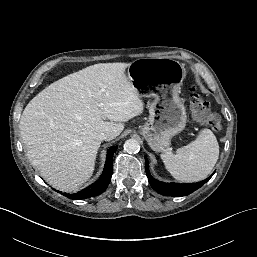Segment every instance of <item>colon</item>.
<instances>
[{
	"instance_id": "obj_1",
	"label": "colon",
	"mask_w": 257,
	"mask_h": 257,
	"mask_svg": "<svg viewBox=\"0 0 257 257\" xmlns=\"http://www.w3.org/2000/svg\"><path fill=\"white\" fill-rule=\"evenodd\" d=\"M190 103L193 116L196 121L210 127L213 130H220V117L210 112L208 101L195 89H193L191 92Z\"/></svg>"
}]
</instances>
